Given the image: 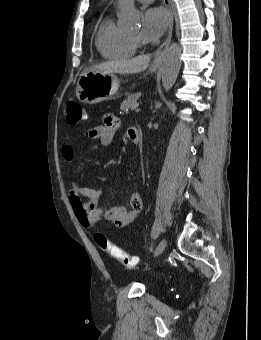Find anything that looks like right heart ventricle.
<instances>
[{
    "label": "right heart ventricle",
    "mask_w": 261,
    "mask_h": 340,
    "mask_svg": "<svg viewBox=\"0 0 261 340\" xmlns=\"http://www.w3.org/2000/svg\"><path fill=\"white\" fill-rule=\"evenodd\" d=\"M95 44L101 56L106 59L128 58L137 50L130 35L120 30L110 15L106 16L99 25Z\"/></svg>",
    "instance_id": "right-heart-ventricle-1"
}]
</instances>
